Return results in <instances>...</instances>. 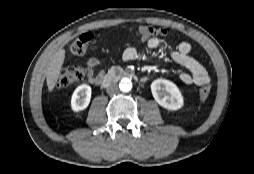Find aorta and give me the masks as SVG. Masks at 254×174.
<instances>
[{
    "instance_id": "obj_1",
    "label": "aorta",
    "mask_w": 254,
    "mask_h": 174,
    "mask_svg": "<svg viewBox=\"0 0 254 174\" xmlns=\"http://www.w3.org/2000/svg\"><path fill=\"white\" fill-rule=\"evenodd\" d=\"M122 92H129L132 89V82L129 78H123L119 83Z\"/></svg>"
}]
</instances>
